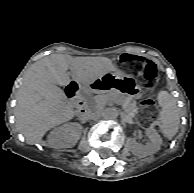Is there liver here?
<instances>
[{
  "label": "liver",
  "instance_id": "obj_1",
  "mask_svg": "<svg viewBox=\"0 0 194 193\" xmlns=\"http://www.w3.org/2000/svg\"><path fill=\"white\" fill-rule=\"evenodd\" d=\"M69 69L72 80L87 86L116 67L107 57H72L58 53L35 62L24 76L15 109L17 128L28 144L42 143L48 130L73 118L72 104L57 86L70 83Z\"/></svg>",
  "mask_w": 194,
  "mask_h": 193
}]
</instances>
